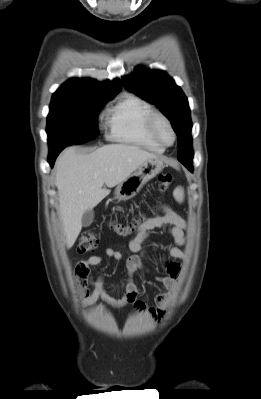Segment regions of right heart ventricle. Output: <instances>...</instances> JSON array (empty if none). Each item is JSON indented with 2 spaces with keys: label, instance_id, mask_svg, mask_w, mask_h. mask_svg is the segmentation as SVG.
<instances>
[{
  "label": "right heart ventricle",
  "instance_id": "right-heart-ventricle-1",
  "mask_svg": "<svg viewBox=\"0 0 261 399\" xmlns=\"http://www.w3.org/2000/svg\"><path fill=\"white\" fill-rule=\"evenodd\" d=\"M153 111L151 104L143 98L126 94L107 112L108 138L150 151L163 152L165 148L151 137L147 128L148 117Z\"/></svg>",
  "mask_w": 261,
  "mask_h": 399
}]
</instances>
